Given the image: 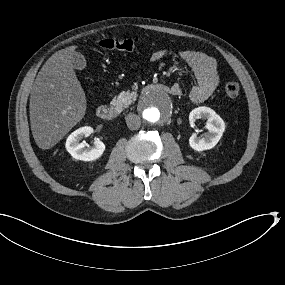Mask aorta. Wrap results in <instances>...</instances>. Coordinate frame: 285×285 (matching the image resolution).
Segmentation results:
<instances>
[{
  "mask_svg": "<svg viewBox=\"0 0 285 285\" xmlns=\"http://www.w3.org/2000/svg\"><path fill=\"white\" fill-rule=\"evenodd\" d=\"M140 111L142 116L147 121L159 123L164 121L169 116L171 104L169 99L164 94L152 92L147 94L142 99Z\"/></svg>",
  "mask_w": 285,
  "mask_h": 285,
  "instance_id": "aorta-1",
  "label": "aorta"
}]
</instances>
